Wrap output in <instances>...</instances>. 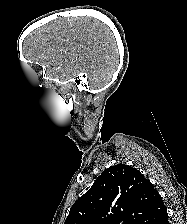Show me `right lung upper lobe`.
<instances>
[{
  "mask_svg": "<svg viewBox=\"0 0 187 224\" xmlns=\"http://www.w3.org/2000/svg\"><path fill=\"white\" fill-rule=\"evenodd\" d=\"M165 213L152 183L137 169L117 164L72 205L64 224H155Z\"/></svg>",
  "mask_w": 187,
  "mask_h": 224,
  "instance_id": "right-lung-upper-lobe-1",
  "label": "right lung upper lobe"
}]
</instances>
